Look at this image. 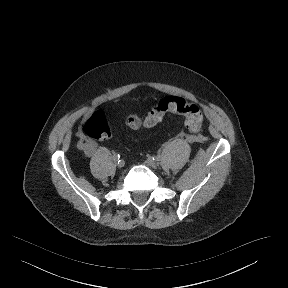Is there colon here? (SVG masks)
<instances>
[{
    "mask_svg": "<svg viewBox=\"0 0 288 288\" xmlns=\"http://www.w3.org/2000/svg\"><path fill=\"white\" fill-rule=\"evenodd\" d=\"M167 113H175L184 116L185 126L190 132L200 130L203 122V112L194 103L186 101L179 96H167L161 99L157 105L152 108L145 119L129 117L126 125L132 130L148 128L160 123ZM85 135L93 140L106 141L111 137L110 125L106 116L102 112H96L84 124ZM93 145L89 144V149Z\"/></svg>",
    "mask_w": 288,
    "mask_h": 288,
    "instance_id": "1",
    "label": "colon"
}]
</instances>
